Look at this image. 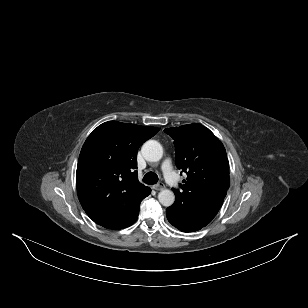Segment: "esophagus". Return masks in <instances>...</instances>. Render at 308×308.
<instances>
[{
	"label": "esophagus",
	"instance_id": "obj_1",
	"mask_svg": "<svg viewBox=\"0 0 308 308\" xmlns=\"http://www.w3.org/2000/svg\"><path fill=\"white\" fill-rule=\"evenodd\" d=\"M164 185L162 183H159V184H156L153 186V189L156 190V191H159V190H162L164 189Z\"/></svg>",
	"mask_w": 308,
	"mask_h": 308
}]
</instances>
